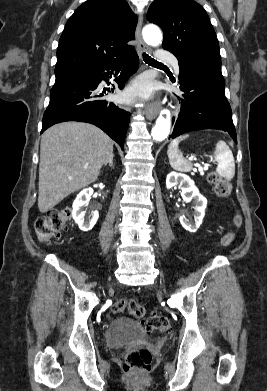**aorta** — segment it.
<instances>
[{
  "instance_id": "1",
  "label": "aorta",
  "mask_w": 267,
  "mask_h": 391,
  "mask_svg": "<svg viewBox=\"0 0 267 391\" xmlns=\"http://www.w3.org/2000/svg\"><path fill=\"white\" fill-rule=\"evenodd\" d=\"M142 34L145 42L150 46L156 47L162 43V33L155 25H147L144 27ZM170 127V112L166 110L162 111L151 131L153 139L156 141H163L169 135Z\"/></svg>"
}]
</instances>
